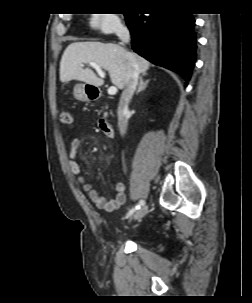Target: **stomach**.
Instances as JSON below:
<instances>
[{
	"mask_svg": "<svg viewBox=\"0 0 252 303\" xmlns=\"http://www.w3.org/2000/svg\"><path fill=\"white\" fill-rule=\"evenodd\" d=\"M88 84L78 83L74 86V97L80 101H87L89 99L88 95Z\"/></svg>",
	"mask_w": 252,
	"mask_h": 303,
	"instance_id": "0dacf381",
	"label": "stomach"
}]
</instances>
